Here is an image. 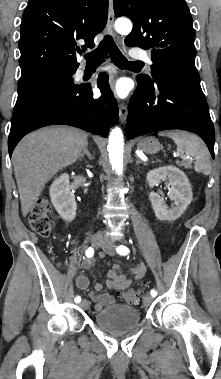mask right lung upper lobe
I'll return each instance as SVG.
<instances>
[{
	"mask_svg": "<svg viewBox=\"0 0 221 379\" xmlns=\"http://www.w3.org/2000/svg\"><path fill=\"white\" fill-rule=\"evenodd\" d=\"M108 0H29L21 23L22 82L56 69H77V40L94 47L107 22ZM18 82V83H19Z\"/></svg>",
	"mask_w": 221,
	"mask_h": 379,
	"instance_id": "right-lung-upper-lobe-1",
	"label": "right lung upper lobe"
}]
</instances>
